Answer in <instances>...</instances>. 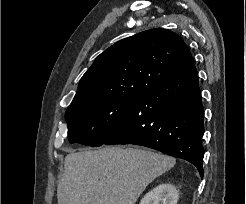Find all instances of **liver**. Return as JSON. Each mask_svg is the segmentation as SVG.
Instances as JSON below:
<instances>
[{"label": "liver", "mask_w": 246, "mask_h": 204, "mask_svg": "<svg viewBox=\"0 0 246 204\" xmlns=\"http://www.w3.org/2000/svg\"><path fill=\"white\" fill-rule=\"evenodd\" d=\"M175 163L168 155L133 147L70 153L57 186L58 204H135L147 185Z\"/></svg>", "instance_id": "obj_1"}]
</instances>
